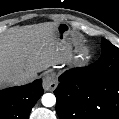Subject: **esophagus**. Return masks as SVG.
I'll list each match as a JSON object with an SVG mask.
<instances>
[{
	"mask_svg": "<svg viewBox=\"0 0 119 119\" xmlns=\"http://www.w3.org/2000/svg\"><path fill=\"white\" fill-rule=\"evenodd\" d=\"M57 87V80L53 73H48L43 79V88L46 91H53Z\"/></svg>",
	"mask_w": 119,
	"mask_h": 119,
	"instance_id": "1",
	"label": "esophagus"
}]
</instances>
